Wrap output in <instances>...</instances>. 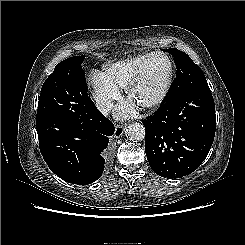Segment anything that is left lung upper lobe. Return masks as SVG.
Masks as SVG:
<instances>
[{
	"label": "left lung upper lobe",
	"instance_id": "left-lung-upper-lobe-1",
	"mask_svg": "<svg viewBox=\"0 0 245 245\" xmlns=\"http://www.w3.org/2000/svg\"><path fill=\"white\" fill-rule=\"evenodd\" d=\"M174 57L177 68L176 79L172 85L171 92L167 100L178 95L182 91L198 84L207 83L201 68L184 52L176 48L163 50Z\"/></svg>",
	"mask_w": 245,
	"mask_h": 245
}]
</instances>
